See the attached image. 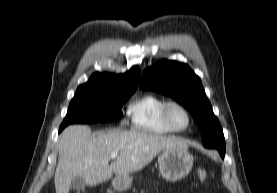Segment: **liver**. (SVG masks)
I'll list each match as a JSON object with an SVG mask.
<instances>
[{"instance_id":"6515ba94","label":"liver","mask_w":277,"mask_h":193,"mask_svg":"<svg viewBox=\"0 0 277 193\" xmlns=\"http://www.w3.org/2000/svg\"><path fill=\"white\" fill-rule=\"evenodd\" d=\"M186 141L144 131L108 130L93 136L86 125H72L60 135L58 165L54 183L56 193H69L72 180L82 177L97 185L113 174L127 176L149 164L165 149L187 148ZM117 158L109 165L110 154Z\"/></svg>"}]
</instances>
